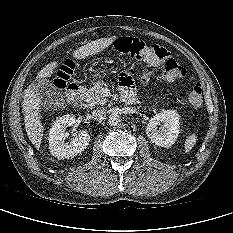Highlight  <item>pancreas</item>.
Here are the masks:
<instances>
[{
  "instance_id": "1",
  "label": "pancreas",
  "mask_w": 233,
  "mask_h": 233,
  "mask_svg": "<svg viewBox=\"0 0 233 233\" xmlns=\"http://www.w3.org/2000/svg\"><path fill=\"white\" fill-rule=\"evenodd\" d=\"M101 89V85H95L90 89L80 87L81 99L85 102L86 107L103 105L107 102V99L101 95Z\"/></svg>"
}]
</instances>
